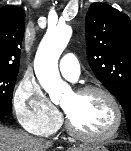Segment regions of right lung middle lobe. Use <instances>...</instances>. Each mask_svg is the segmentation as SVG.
Returning <instances> with one entry per match:
<instances>
[{
  "label": "right lung middle lobe",
  "instance_id": "right-lung-middle-lobe-1",
  "mask_svg": "<svg viewBox=\"0 0 131 151\" xmlns=\"http://www.w3.org/2000/svg\"><path fill=\"white\" fill-rule=\"evenodd\" d=\"M19 70H0V114H12V95Z\"/></svg>",
  "mask_w": 131,
  "mask_h": 151
}]
</instances>
